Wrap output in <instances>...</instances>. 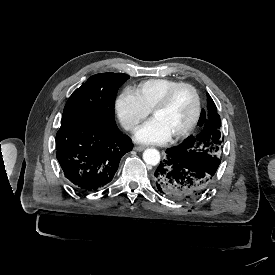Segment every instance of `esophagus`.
Listing matches in <instances>:
<instances>
[{
  "label": "esophagus",
  "instance_id": "1",
  "mask_svg": "<svg viewBox=\"0 0 275 275\" xmlns=\"http://www.w3.org/2000/svg\"><path fill=\"white\" fill-rule=\"evenodd\" d=\"M146 147L145 146H136L134 149L136 151H143Z\"/></svg>",
  "mask_w": 275,
  "mask_h": 275
}]
</instances>
